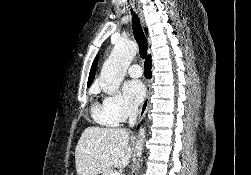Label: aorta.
Segmentation results:
<instances>
[{
	"instance_id": "obj_1",
	"label": "aorta",
	"mask_w": 251,
	"mask_h": 175,
	"mask_svg": "<svg viewBox=\"0 0 251 175\" xmlns=\"http://www.w3.org/2000/svg\"><path fill=\"white\" fill-rule=\"evenodd\" d=\"M137 52L138 46L134 44V42H118V44H115L108 60H106L101 70L99 78L100 88L103 89L105 93L113 95V93L117 91L122 80L125 78L128 66H130ZM145 133V127H141L135 143L138 161H142Z\"/></svg>"
}]
</instances>
